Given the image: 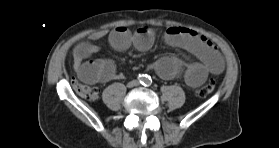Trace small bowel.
I'll return each instance as SVG.
<instances>
[{
  "label": "small bowel",
  "mask_w": 279,
  "mask_h": 148,
  "mask_svg": "<svg viewBox=\"0 0 279 148\" xmlns=\"http://www.w3.org/2000/svg\"><path fill=\"white\" fill-rule=\"evenodd\" d=\"M108 35L111 46L124 51L133 46L139 51L149 50L155 41L154 32L146 26L131 32L125 27H117L107 34L97 31L89 35L88 41L81 42L73 49L74 68L78 77L85 83H107L121 78L113 61L109 59L87 60L98 51L94 43ZM165 41L173 47L181 48L197 58V61L184 63L175 56H163L156 60L150 68L162 78L172 79L184 70L186 83L191 87L200 86L209 74L218 75L224 70V60L218 49L206 37L184 27H169L165 33Z\"/></svg>",
  "instance_id": "c3829d8e"
}]
</instances>
